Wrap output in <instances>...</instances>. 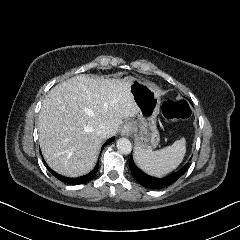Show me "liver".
<instances>
[{
    "label": "liver",
    "mask_w": 240,
    "mask_h": 240,
    "mask_svg": "<svg viewBox=\"0 0 240 240\" xmlns=\"http://www.w3.org/2000/svg\"><path fill=\"white\" fill-rule=\"evenodd\" d=\"M123 79L74 76L50 90L39 112V143L47 164L57 173L78 177L95 166L104 141L99 124L110 126L114 136L123 119L138 113L130 86Z\"/></svg>",
    "instance_id": "liver-1"
}]
</instances>
